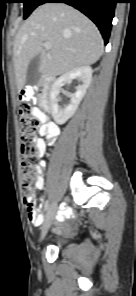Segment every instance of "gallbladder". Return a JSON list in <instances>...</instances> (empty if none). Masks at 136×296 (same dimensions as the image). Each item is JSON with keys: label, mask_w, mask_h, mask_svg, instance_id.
<instances>
[{"label": "gallbladder", "mask_w": 136, "mask_h": 296, "mask_svg": "<svg viewBox=\"0 0 136 296\" xmlns=\"http://www.w3.org/2000/svg\"><path fill=\"white\" fill-rule=\"evenodd\" d=\"M40 63L41 58L40 55H37L34 57L27 68V74H26V82L30 84H35L38 82L40 78Z\"/></svg>", "instance_id": "obj_1"}]
</instances>
